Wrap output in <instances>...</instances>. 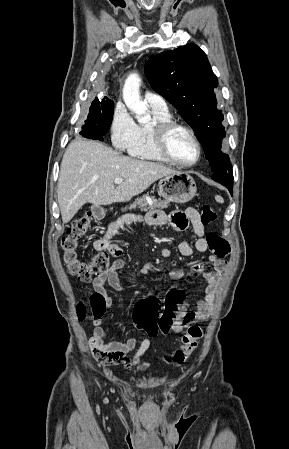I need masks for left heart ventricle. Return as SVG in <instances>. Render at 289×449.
<instances>
[{
  "mask_svg": "<svg viewBox=\"0 0 289 449\" xmlns=\"http://www.w3.org/2000/svg\"><path fill=\"white\" fill-rule=\"evenodd\" d=\"M169 148L179 161L191 163L197 158V147L190 136L183 130H175L169 137Z\"/></svg>",
  "mask_w": 289,
  "mask_h": 449,
  "instance_id": "1",
  "label": "left heart ventricle"
}]
</instances>
